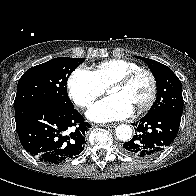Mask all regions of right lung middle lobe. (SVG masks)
I'll return each instance as SVG.
<instances>
[{
  "label": "right lung middle lobe",
  "mask_w": 196,
  "mask_h": 196,
  "mask_svg": "<svg viewBox=\"0 0 196 196\" xmlns=\"http://www.w3.org/2000/svg\"><path fill=\"white\" fill-rule=\"evenodd\" d=\"M85 59L59 57L28 69L18 81L15 111L40 101L74 108L66 84L70 74Z\"/></svg>",
  "instance_id": "dd1d6c3e"
}]
</instances>
